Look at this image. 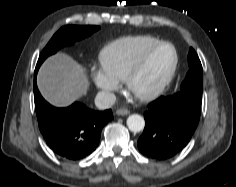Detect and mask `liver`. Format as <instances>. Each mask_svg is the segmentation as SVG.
<instances>
[{
  "label": "liver",
  "mask_w": 236,
  "mask_h": 187,
  "mask_svg": "<svg viewBox=\"0 0 236 187\" xmlns=\"http://www.w3.org/2000/svg\"><path fill=\"white\" fill-rule=\"evenodd\" d=\"M37 85L50 104L66 107L86 94L89 81L78 62L65 53H57L41 66Z\"/></svg>",
  "instance_id": "6515ba94"
}]
</instances>
